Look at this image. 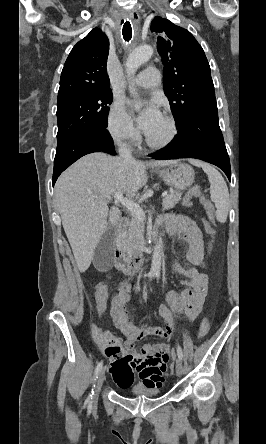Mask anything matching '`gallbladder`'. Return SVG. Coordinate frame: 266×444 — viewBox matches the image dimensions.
<instances>
[{
	"label": "gallbladder",
	"instance_id": "bac80fb5",
	"mask_svg": "<svg viewBox=\"0 0 266 444\" xmlns=\"http://www.w3.org/2000/svg\"><path fill=\"white\" fill-rule=\"evenodd\" d=\"M115 235V228L109 227L102 235L99 243L97 244L93 262L98 269L107 270L112 267L114 262L113 254V240Z\"/></svg>",
	"mask_w": 266,
	"mask_h": 444
}]
</instances>
